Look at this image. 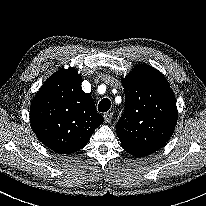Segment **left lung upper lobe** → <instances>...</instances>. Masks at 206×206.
<instances>
[{"mask_svg": "<svg viewBox=\"0 0 206 206\" xmlns=\"http://www.w3.org/2000/svg\"><path fill=\"white\" fill-rule=\"evenodd\" d=\"M121 81L125 111L117 123V135L128 153L147 156L164 146L174 132L175 95L166 78L149 65L136 66Z\"/></svg>", "mask_w": 206, "mask_h": 206, "instance_id": "obj_1", "label": "left lung upper lobe"}]
</instances>
